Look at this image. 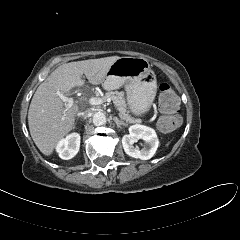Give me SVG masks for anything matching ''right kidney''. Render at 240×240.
<instances>
[{
	"label": "right kidney",
	"instance_id": "right-kidney-1",
	"mask_svg": "<svg viewBox=\"0 0 240 240\" xmlns=\"http://www.w3.org/2000/svg\"><path fill=\"white\" fill-rule=\"evenodd\" d=\"M80 148V135L78 133H72L65 139L59 141L56 147V151L59 157L64 160L73 158Z\"/></svg>",
	"mask_w": 240,
	"mask_h": 240
}]
</instances>
